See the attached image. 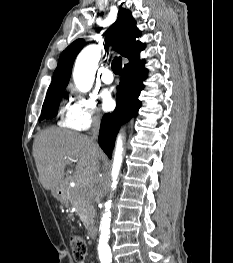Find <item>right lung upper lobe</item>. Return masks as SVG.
<instances>
[{
	"mask_svg": "<svg viewBox=\"0 0 233 263\" xmlns=\"http://www.w3.org/2000/svg\"><path fill=\"white\" fill-rule=\"evenodd\" d=\"M140 35L141 32L137 29L136 22L131 12L123 8L119 10L116 22L105 34L106 40L113 45L114 49L122 56L129 59V63L125 66L140 61V52L145 48V44L135 40ZM84 44L85 42L83 39H78L62 52L47 93L66 88L71 76L74 60L84 47Z\"/></svg>",
	"mask_w": 233,
	"mask_h": 263,
	"instance_id": "obj_1",
	"label": "right lung upper lobe"
}]
</instances>
